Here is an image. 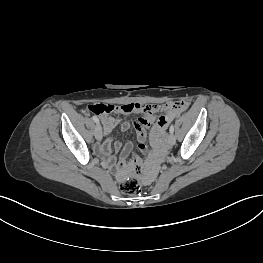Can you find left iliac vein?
I'll return each instance as SVG.
<instances>
[{
	"mask_svg": "<svg viewBox=\"0 0 263 263\" xmlns=\"http://www.w3.org/2000/svg\"><path fill=\"white\" fill-rule=\"evenodd\" d=\"M175 141H176V139H175L174 134L170 133L169 136H168V143H169V145H171V146L174 145Z\"/></svg>",
	"mask_w": 263,
	"mask_h": 263,
	"instance_id": "1",
	"label": "left iliac vein"
}]
</instances>
